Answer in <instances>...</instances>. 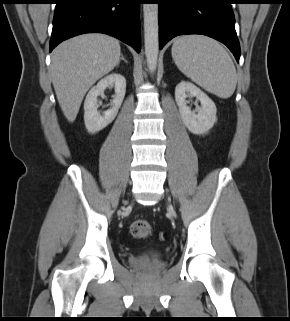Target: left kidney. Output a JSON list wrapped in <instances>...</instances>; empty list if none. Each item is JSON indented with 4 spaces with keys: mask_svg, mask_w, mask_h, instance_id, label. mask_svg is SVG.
<instances>
[{
    "mask_svg": "<svg viewBox=\"0 0 290 321\" xmlns=\"http://www.w3.org/2000/svg\"><path fill=\"white\" fill-rule=\"evenodd\" d=\"M187 97H196L201 102V107H196L194 111H191V108L187 106ZM175 100L181 119L191 133L205 134L217 121V109L214 102L194 84L186 81L180 82L175 88Z\"/></svg>",
    "mask_w": 290,
    "mask_h": 321,
    "instance_id": "1",
    "label": "left kidney"
}]
</instances>
